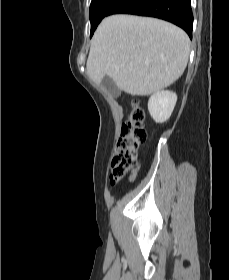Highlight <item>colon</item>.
Returning a JSON list of instances; mask_svg holds the SVG:
<instances>
[{"label": "colon", "instance_id": "obj_1", "mask_svg": "<svg viewBox=\"0 0 229 280\" xmlns=\"http://www.w3.org/2000/svg\"><path fill=\"white\" fill-rule=\"evenodd\" d=\"M144 117L139 100L134 98L131 101L128 120L122 126L121 136L110 164L111 176L115 179L123 178L138 162V149L147 138Z\"/></svg>", "mask_w": 229, "mask_h": 280}]
</instances>
